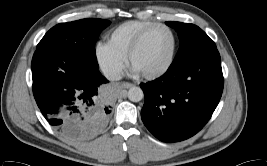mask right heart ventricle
<instances>
[{"label":"right heart ventricle","mask_w":267,"mask_h":166,"mask_svg":"<svg viewBox=\"0 0 267 166\" xmlns=\"http://www.w3.org/2000/svg\"><path fill=\"white\" fill-rule=\"evenodd\" d=\"M156 25L155 22L147 20H132L125 22L112 30L109 36V44L120 55L127 53L135 40L147 29Z\"/></svg>","instance_id":"right-heart-ventricle-1"}]
</instances>
